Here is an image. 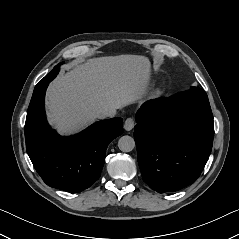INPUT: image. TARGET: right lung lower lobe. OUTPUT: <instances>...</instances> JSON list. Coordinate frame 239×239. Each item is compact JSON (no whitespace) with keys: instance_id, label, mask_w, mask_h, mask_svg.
I'll list each match as a JSON object with an SVG mask.
<instances>
[{"instance_id":"right-lung-lower-lobe-1","label":"right lung lower lobe","mask_w":239,"mask_h":239,"mask_svg":"<svg viewBox=\"0 0 239 239\" xmlns=\"http://www.w3.org/2000/svg\"><path fill=\"white\" fill-rule=\"evenodd\" d=\"M51 79L35 87L25 123L27 153L43 181L80 192L99 179L107 146L123 133L122 118L97 122L81 133L62 137L47 123L44 99Z\"/></svg>"}]
</instances>
